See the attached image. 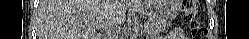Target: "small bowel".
I'll return each instance as SVG.
<instances>
[{"label":"small bowel","mask_w":249,"mask_h":39,"mask_svg":"<svg viewBox=\"0 0 249 39\" xmlns=\"http://www.w3.org/2000/svg\"><path fill=\"white\" fill-rule=\"evenodd\" d=\"M182 32L178 29H174L173 31H171V33L169 34V37L170 38H173V39H178L180 37H182Z\"/></svg>","instance_id":"obj_1"}]
</instances>
